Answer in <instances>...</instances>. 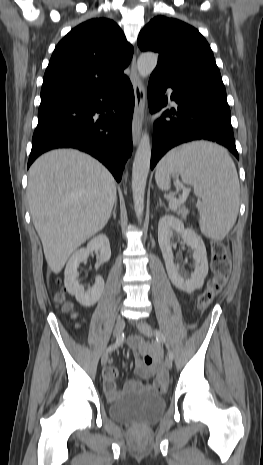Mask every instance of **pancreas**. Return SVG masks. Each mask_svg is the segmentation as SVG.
<instances>
[{
    "label": "pancreas",
    "instance_id": "cf45deb5",
    "mask_svg": "<svg viewBox=\"0 0 263 465\" xmlns=\"http://www.w3.org/2000/svg\"><path fill=\"white\" fill-rule=\"evenodd\" d=\"M174 212L180 215L183 219H186L189 210L184 205H178L177 208L174 209Z\"/></svg>",
    "mask_w": 263,
    "mask_h": 465
}]
</instances>
